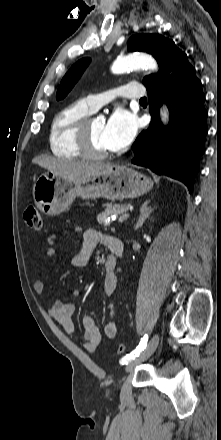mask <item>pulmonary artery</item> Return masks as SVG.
I'll list each match as a JSON object with an SVG mask.
<instances>
[{
  "label": "pulmonary artery",
  "instance_id": "e3ab8cb5",
  "mask_svg": "<svg viewBox=\"0 0 221 440\" xmlns=\"http://www.w3.org/2000/svg\"><path fill=\"white\" fill-rule=\"evenodd\" d=\"M116 96L126 98H143L144 88L141 84L137 82H131L103 93L88 95L85 100L89 104L91 109L93 111H96L102 105L108 103Z\"/></svg>",
  "mask_w": 221,
  "mask_h": 440
}]
</instances>
